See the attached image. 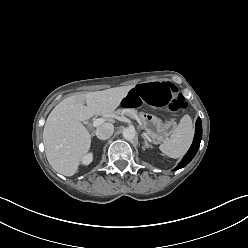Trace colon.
Instances as JSON below:
<instances>
[{
	"label": "colon",
	"mask_w": 248,
	"mask_h": 248,
	"mask_svg": "<svg viewBox=\"0 0 248 248\" xmlns=\"http://www.w3.org/2000/svg\"><path fill=\"white\" fill-rule=\"evenodd\" d=\"M142 103L171 111H182L185 108L184 98L178 92L177 87L164 81L132 87L122 100V105L126 109L139 107Z\"/></svg>",
	"instance_id": "5ec220e1"
}]
</instances>
